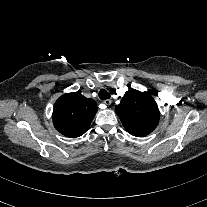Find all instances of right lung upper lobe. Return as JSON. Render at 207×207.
Instances as JSON below:
<instances>
[{
    "label": "right lung upper lobe",
    "mask_w": 207,
    "mask_h": 207,
    "mask_svg": "<svg viewBox=\"0 0 207 207\" xmlns=\"http://www.w3.org/2000/svg\"><path fill=\"white\" fill-rule=\"evenodd\" d=\"M96 112L97 105L93 99L80 92L67 93L54 104L53 123L61 134L79 137L88 130Z\"/></svg>",
    "instance_id": "obj_1"
}]
</instances>
